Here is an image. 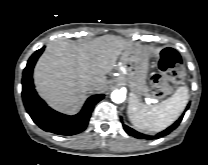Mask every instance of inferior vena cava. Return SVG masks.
<instances>
[{"instance_id":"obj_1","label":"inferior vena cava","mask_w":208,"mask_h":165,"mask_svg":"<svg viewBox=\"0 0 208 165\" xmlns=\"http://www.w3.org/2000/svg\"><path fill=\"white\" fill-rule=\"evenodd\" d=\"M88 89H89V90H97V86L94 85V84H90V85L88 86Z\"/></svg>"}]
</instances>
